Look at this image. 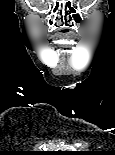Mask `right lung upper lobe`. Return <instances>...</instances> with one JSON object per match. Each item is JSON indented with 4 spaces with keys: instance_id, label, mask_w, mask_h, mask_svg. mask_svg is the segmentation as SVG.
I'll return each mask as SVG.
<instances>
[{
    "instance_id": "1",
    "label": "right lung upper lobe",
    "mask_w": 115,
    "mask_h": 155,
    "mask_svg": "<svg viewBox=\"0 0 115 155\" xmlns=\"http://www.w3.org/2000/svg\"><path fill=\"white\" fill-rule=\"evenodd\" d=\"M38 155H48V154H46V153H40V154H38Z\"/></svg>"
}]
</instances>
